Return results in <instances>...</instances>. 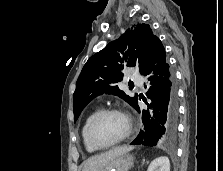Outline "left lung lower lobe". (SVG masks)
I'll use <instances>...</instances> for the list:
<instances>
[{
	"instance_id": "0a47b994",
	"label": "left lung lower lobe",
	"mask_w": 223,
	"mask_h": 171,
	"mask_svg": "<svg viewBox=\"0 0 223 171\" xmlns=\"http://www.w3.org/2000/svg\"><path fill=\"white\" fill-rule=\"evenodd\" d=\"M143 74H151L148 78L150 86L146 93L152 101V107H149L151 108V114L149 111H142L144 127L131 144L171 145L177 135V86L174 72L166 61V52L161 41L155 44ZM145 88H147L146 85ZM135 109L139 113L141 112L138 103Z\"/></svg>"
}]
</instances>
